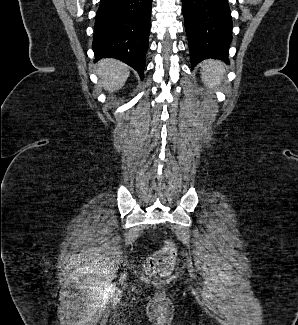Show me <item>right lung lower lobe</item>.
I'll list each match as a JSON object with an SVG mask.
<instances>
[{
  "label": "right lung lower lobe",
  "mask_w": 298,
  "mask_h": 325,
  "mask_svg": "<svg viewBox=\"0 0 298 325\" xmlns=\"http://www.w3.org/2000/svg\"><path fill=\"white\" fill-rule=\"evenodd\" d=\"M152 0H100L92 49L96 61L116 58L144 76Z\"/></svg>",
  "instance_id": "98d812e1"
}]
</instances>
